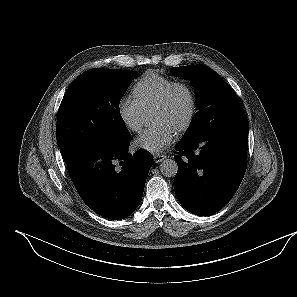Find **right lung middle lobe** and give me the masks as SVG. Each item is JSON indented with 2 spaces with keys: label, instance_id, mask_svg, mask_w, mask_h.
I'll list each match as a JSON object with an SVG mask.
<instances>
[{
  "label": "right lung middle lobe",
  "instance_id": "obj_1",
  "mask_svg": "<svg viewBox=\"0 0 297 297\" xmlns=\"http://www.w3.org/2000/svg\"><path fill=\"white\" fill-rule=\"evenodd\" d=\"M138 74L120 69H90L65 93L57 117V141L66 164L84 151L121 144L131 136L119 102Z\"/></svg>",
  "mask_w": 297,
  "mask_h": 297
}]
</instances>
